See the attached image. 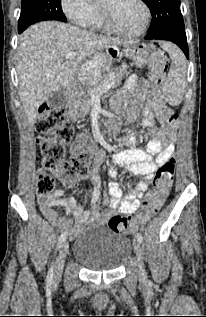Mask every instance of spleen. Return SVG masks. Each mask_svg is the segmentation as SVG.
<instances>
[{
  "instance_id": "obj_1",
  "label": "spleen",
  "mask_w": 206,
  "mask_h": 317,
  "mask_svg": "<svg viewBox=\"0 0 206 317\" xmlns=\"http://www.w3.org/2000/svg\"><path fill=\"white\" fill-rule=\"evenodd\" d=\"M161 47L169 54L171 66L163 85V96L172 106L181 104L186 86V59L181 50L174 44L160 42Z\"/></svg>"
}]
</instances>
